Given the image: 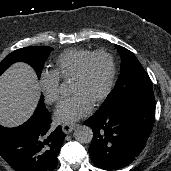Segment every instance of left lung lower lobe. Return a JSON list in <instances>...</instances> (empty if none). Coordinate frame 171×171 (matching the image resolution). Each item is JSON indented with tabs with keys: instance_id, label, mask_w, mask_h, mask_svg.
Instances as JSON below:
<instances>
[{
	"instance_id": "obj_1",
	"label": "left lung lower lobe",
	"mask_w": 171,
	"mask_h": 171,
	"mask_svg": "<svg viewBox=\"0 0 171 171\" xmlns=\"http://www.w3.org/2000/svg\"><path fill=\"white\" fill-rule=\"evenodd\" d=\"M155 121V102L133 100L88 120L93 130L91 160L104 170L129 165L143 150Z\"/></svg>"
}]
</instances>
